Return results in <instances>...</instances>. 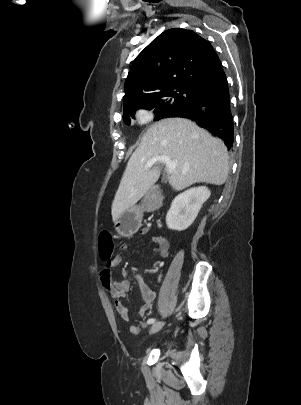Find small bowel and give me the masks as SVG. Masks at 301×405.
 <instances>
[{
  "mask_svg": "<svg viewBox=\"0 0 301 405\" xmlns=\"http://www.w3.org/2000/svg\"><path fill=\"white\" fill-rule=\"evenodd\" d=\"M150 231L148 227H143L140 230L141 234H147ZM152 244L154 250L158 253L161 258L168 257L169 254V244L168 241L162 236H154L152 238ZM127 245H123L122 249H127ZM122 262V257L116 255L112 257L111 261L107 263V265L101 270L100 272V280L103 287L111 294V296L115 299V308L119 315L128 320L129 319V308L125 305L124 299L126 297V293L130 288V284L126 279H114L112 275V268L118 266ZM135 279L139 285V288L142 293L143 297V304L139 309V314L144 316L145 313L151 308L152 304L156 298V292L151 289L142 279L140 275H136ZM149 320V319H148ZM148 320L144 321V325L147 323Z\"/></svg>",
  "mask_w": 301,
  "mask_h": 405,
  "instance_id": "1",
  "label": "small bowel"
}]
</instances>
